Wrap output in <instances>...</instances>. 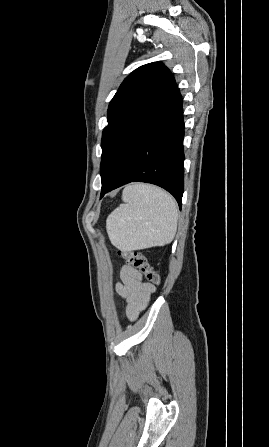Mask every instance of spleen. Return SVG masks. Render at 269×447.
I'll use <instances>...</instances> for the list:
<instances>
[{"instance_id": "obj_1", "label": "spleen", "mask_w": 269, "mask_h": 447, "mask_svg": "<svg viewBox=\"0 0 269 447\" xmlns=\"http://www.w3.org/2000/svg\"><path fill=\"white\" fill-rule=\"evenodd\" d=\"M120 204L106 220L108 237L121 251L166 245L175 237L177 204L165 190L150 184H129Z\"/></svg>"}]
</instances>
